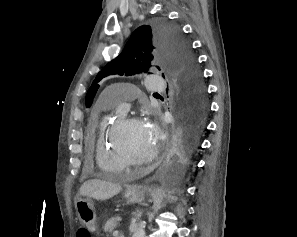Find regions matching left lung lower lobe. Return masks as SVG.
<instances>
[{"instance_id": "left-lung-lower-lobe-1", "label": "left lung lower lobe", "mask_w": 297, "mask_h": 237, "mask_svg": "<svg viewBox=\"0 0 297 237\" xmlns=\"http://www.w3.org/2000/svg\"><path fill=\"white\" fill-rule=\"evenodd\" d=\"M176 106L181 117L182 127L173 137L170 156L171 163L185 160L197 147L200 133L205 127L208 111L207 104L197 105V103L180 92Z\"/></svg>"}]
</instances>
